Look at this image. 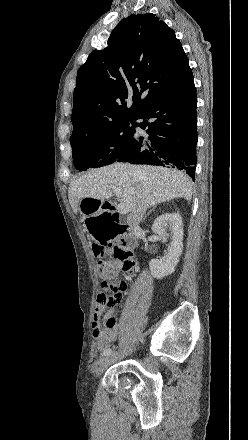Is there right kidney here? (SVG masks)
<instances>
[{"label": "right kidney", "instance_id": "right-kidney-1", "mask_svg": "<svg viewBox=\"0 0 248 440\" xmlns=\"http://www.w3.org/2000/svg\"><path fill=\"white\" fill-rule=\"evenodd\" d=\"M170 231V234L166 233ZM152 231L161 238L171 236V242L167 253L158 259H152L149 263L151 275L156 279H162L171 275L179 262L183 251V223L179 213H165L157 217L152 225Z\"/></svg>", "mask_w": 248, "mask_h": 440}]
</instances>
